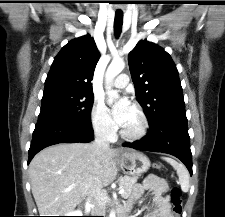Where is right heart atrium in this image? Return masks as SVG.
<instances>
[{"label": "right heart atrium", "instance_id": "right-heart-atrium-1", "mask_svg": "<svg viewBox=\"0 0 225 217\" xmlns=\"http://www.w3.org/2000/svg\"><path fill=\"white\" fill-rule=\"evenodd\" d=\"M91 124L94 131L102 137H111L115 126L107 108L101 101H95L91 109Z\"/></svg>", "mask_w": 225, "mask_h": 217}]
</instances>
